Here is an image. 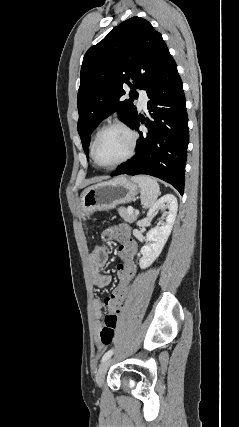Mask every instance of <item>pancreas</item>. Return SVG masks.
<instances>
[{"label":"pancreas","instance_id":"obj_1","mask_svg":"<svg viewBox=\"0 0 239 427\" xmlns=\"http://www.w3.org/2000/svg\"><path fill=\"white\" fill-rule=\"evenodd\" d=\"M118 212L119 215L128 223H133L137 219V214L135 212L129 213L125 207H120Z\"/></svg>","mask_w":239,"mask_h":427}]
</instances>
